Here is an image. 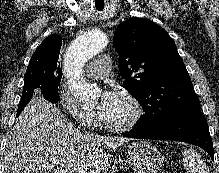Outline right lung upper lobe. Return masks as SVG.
Here are the masks:
<instances>
[{
  "instance_id": "cb5924a9",
  "label": "right lung upper lobe",
  "mask_w": 219,
  "mask_h": 173,
  "mask_svg": "<svg viewBox=\"0 0 219 173\" xmlns=\"http://www.w3.org/2000/svg\"><path fill=\"white\" fill-rule=\"evenodd\" d=\"M62 45V37L58 34L48 36L38 46L29 61V66H45L55 68L62 76L60 64L58 62L59 53Z\"/></svg>"
}]
</instances>
